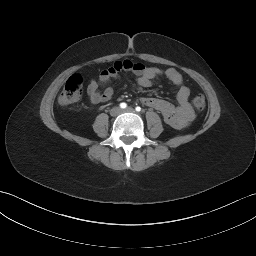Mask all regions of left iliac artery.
Returning a JSON list of instances; mask_svg holds the SVG:
<instances>
[{
	"mask_svg": "<svg viewBox=\"0 0 256 256\" xmlns=\"http://www.w3.org/2000/svg\"><path fill=\"white\" fill-rule=\"evenodd\" d=\"M135 110H136L137 112H140V111H141V107L137 106V107L135 108Z\"/></svg>",
	"mask_w": 256,
	"mask_h": 256,
	"instance_id": "1",
	"label": "left iliac artery"
}]
</instances>
